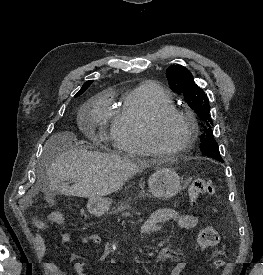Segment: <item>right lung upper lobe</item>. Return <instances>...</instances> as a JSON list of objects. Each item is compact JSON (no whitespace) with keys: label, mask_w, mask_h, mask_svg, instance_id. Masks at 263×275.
<instances>
[{"label":"right lung upper lobe","mask_w":263,"mask_h":275,"mask_svg":"<svg viewBox=\"0 0 263 275\" xmlns=\"http://www.w3.org/2000/svg\"><path fill=\"white\" fill-rule=\"evenodd\" d=\"M92 82H93L92 80H91V81L85 82L84 85H83V87L81 88L80 91L84 90L86 87L88 88ZM80 91H79V92H80ZM79 92H78V93H79ZM78 93H77V94H78Z\"/></svg>","instance_id":"cb5924a9"}]
</instances>
